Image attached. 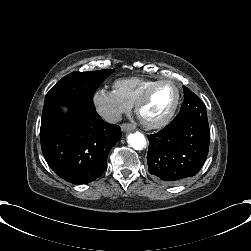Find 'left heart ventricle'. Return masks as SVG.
Here are the masks:
<instances>
[{
	"instance_id": "1",
	"label": "left heart ventricle",
	"mask_w": 251,
	"mask_h": 251,
	"mask_svg": "<svg viewBox=\"0 0 251 251\" xmlns=\"http://www.w3.org/2000/svg\"><path fill=\"white\" fill-rule=\"evenodd\" d=\"M178 96L179 90L176 83H161L143 107L142 118L148 122H158L164 119L176 105Z\"/></svg>"
}]
</instances>
